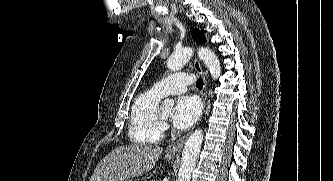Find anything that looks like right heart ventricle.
<instances>
[{"instance_id": "e07e8e85", "label": "right heart ventricle", "mask_w": 333, "mask_h": 181, "mask_svg": "<svg viewBox=\"0 0 333 181\" xmlns=\"http://www.w3.org/2000/svg\"><path fill=\"white\" fill-rule=\"evenodd\" d=\"M161 96L147 91L133 103L129 123V137L138 144H154L162 138V123L157 117Z\"/></svg>"}]
</instances>
